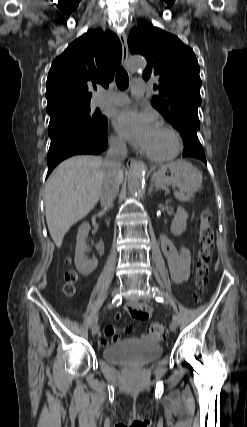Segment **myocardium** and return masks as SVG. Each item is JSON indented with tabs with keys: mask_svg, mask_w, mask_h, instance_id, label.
Returning <instances> with one entry per match:
<instances>
[{
	"mask_svg": "<svg viewBox=\"0 0 247 427\" xmlns=\"http://www.w3.org/2000/svg\"><path fill=\"white\" fill-rule=\"evenodd\" d=\"M159 128L166 131L171 137L172 139L171 148L165 153H153L148 150H145L144 154L151 161L161 163V162H167L174 159L179 154L182 143H181V138L179 133L173 126L166 123H162L159 125Z\"/></svg>",
	"mask_w": 247,
	"mask_h": 427,
	"instance_id": "f54148a6",
	"label": "myocardium"
}]
</instances>
